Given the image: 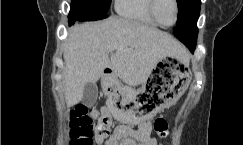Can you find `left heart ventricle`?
<instances>
[{"label": "left heart ventricle", "mask_w": 243, "mask_h": 145, "mask_svg": "<svg viewBox=\"0 0 243 145\" xmlns=\"http://www.w3.org/2000/svg\"><path fill=\"white\" fill-rule=\"evenodd\" d=\"M157 14L161 22L167 25L172 24L175 17V8L172 0H159Z\"/></svg>", "instance_id": "1"}]
</instances>
